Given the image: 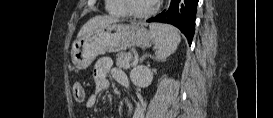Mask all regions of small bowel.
<instances>
[{
	"instance_id": "small-bowel-1",
	"label": "small bowel",
	"mask_w": 273,
	"mask_h": 118,
	"mask_svg": "<svg viewBox=\"0 0 273 118\" xmlns=\"http://www.w3.org/2000/svg\"><path fill=\"white\" fill-rule=\"evenodd\" d=\"M111 75L120 85L126 89L130 88V82L127 75L118 68L113 67L112 60L109 57H102L97 60L93 70V81L95 85L94 93L91 94L87 101L86 107L88 109L95 108L98 102V95L100 92L108 87V76ZM128 117L143 118V108L139 103L131 107Z\"/></svg>"
}]
</instances>
